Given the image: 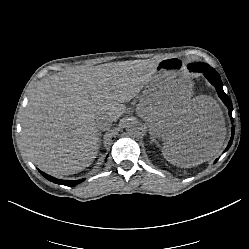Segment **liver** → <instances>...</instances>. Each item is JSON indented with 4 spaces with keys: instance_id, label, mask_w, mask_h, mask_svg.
<instances>
[{
    "instance_id": "liver-1",
    "label": "liver",
    "mask_w": 249,
    "mask_h": 249,
    "mask_svg": "<svg viewBox=\"0 0 249 249\" xmlns=\"http://www.w3.org/2000/svg\"><path fill=\"white\" fill-rule=\"evenodd\" d=\"M155 68L123 64L77 66L50 75L31 92L22 117V143L42 171L70 175L89 167L97 156L96 119L113 121L126 111L125 102L147 85ZM136 114L150 134L166 141V159L191 167L210 161L223 146L227 129L223 112L209 96L174 100L159 86L143 94Z\"/></svg>"
}]
</instances>
